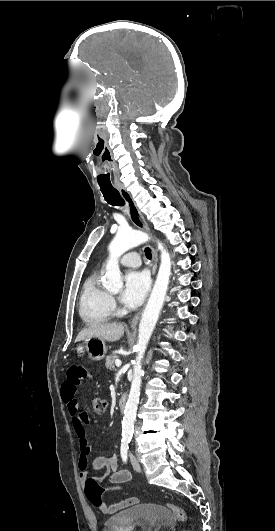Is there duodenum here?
I'll return each instance as SVG.
<instances>
[{
    "label": "duodenum",
    "instance_id": "obj_1",
    "mask_svg": "<svg viewBox=\"0 0 275 531\" xmlns=\"http://www.w3.org/2000/svg\"><path fill=\"white\" fill-rule=\"evenodd\" d=\"M127 401H128V395L125 393L123 394L119 401H118V409L120 411H123L125 408H126V405H127Z\"/></svg>",
    "mask_w": 275,
    "mask_h": 531
}]
</instances>
